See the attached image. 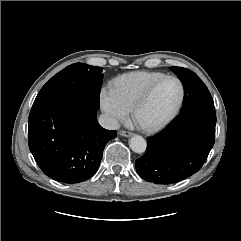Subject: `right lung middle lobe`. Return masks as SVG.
<instances>
[{
	"label": "right lung middle lobe",
	"instance_id": "obj_1",
	"mask_svg": "<svg viewBox=\"0 0 241 241\" xmlns=\"http://www.w3.org/2000/svg\"><path fill=\"white\" fill-rule=\"evenodd\" d=\"M102 69L84 63L67 66L42 87L32 109L67 102H83L98 110Z\"/></svg>",
	"mask_w": 241,
	"mask_h": 241
}]
</instances>
